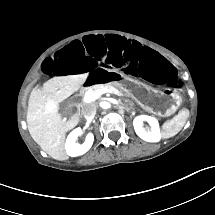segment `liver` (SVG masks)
<instances>
[{
  "label": "liver",
  "mask_w": 215,
  "mask_h": 215,
  "mask_svg": "<svg viewBox=\"0 0 215 215\" xmlns=\"http://www.w3.org/2000/svg\"><path fill=\"white\" fill-rule=\"evenodd\" d=\"M87 73L56 76L45 81L40 89L30 94L27 110L28 130L32 138L54 159L66 154L64 141L68 130L78 123V117L65 120L58 114V103L77 91Z\"/></svg>",
  "instance_id": "liver-1"
}]
</instances>
